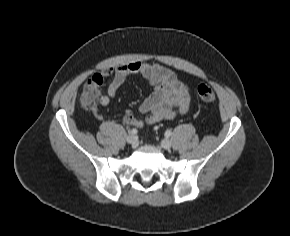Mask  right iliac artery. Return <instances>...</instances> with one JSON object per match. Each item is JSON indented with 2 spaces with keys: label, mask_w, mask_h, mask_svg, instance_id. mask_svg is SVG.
I'll list each match as a JSON object with an SVG mask.
<instances>
[{
  "label": "right iliac artery",
  "mask_w": 290,
  "mask_h": 236,
  "mask_svg": "<svg viewBox=\"0 0 290 236\" xmlns=\"http://www.w3.org/2000/svg\"><path fill=\"white\" fill-rule=\"evenodd\" d=\"M131 134H133V135L137 134V130L136 129H132L131 130Z\"/></svg>",
  "instance_id": "82829eb1"
}]
</instances>
